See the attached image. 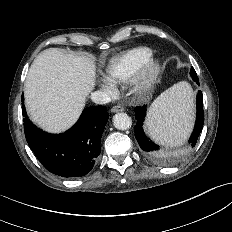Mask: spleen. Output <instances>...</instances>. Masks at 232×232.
<instances>
[{"mask_svg": "<svg viewBox=\"0 0 232 232\" xmlns=\"http://www.w3.org/2000/svg\"><path fill=\"white\" fill-rule=\"evenodd\" d=\"M193 123V91L179 82L162 93L151 105L146 130L157 142L178 146L184 142Z\"/></svg>", "mask_w": 232, "mask_h": 232, "instance_id": "1", "label": "spleen"}]
</instances>
